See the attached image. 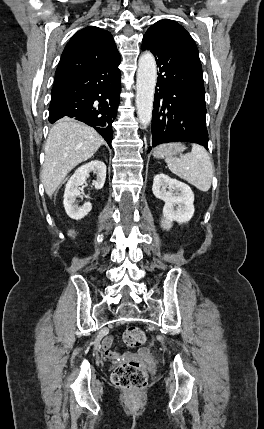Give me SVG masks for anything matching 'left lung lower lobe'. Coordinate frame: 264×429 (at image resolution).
<instances>
[{
    "label": "left lung lower lobe",
    "instance_id": "1",
    "mask_svg": "<svg viewBox=\"0 0 264 429\" xmlns=\"http://www.w3.org/2000/svg\"><path fill=\"white\" fill-rule=\"evenodd\" d=\"M142 49L150 50L158 65L152 117V147L187 141L208 149L205 89L202 71L180 47L146 33Z\"/></svg>",
    "mask_w": 264,
    "mask_h": 429
}]
</instances>
